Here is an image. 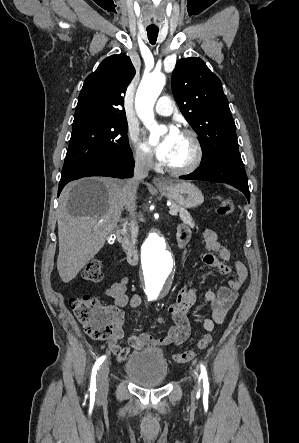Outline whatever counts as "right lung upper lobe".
Masks as SVG:
<instances>
[{"label": "right lung upper lobe", "instance_id": "cb5924a9", "mask_svg": "<svg viewBox=\"0 0 299 443\" xmlns=\"http://www.w3.org/2000/svg\"><path fill=\"white\" fill-rule=\"evenodd\" d=\"M135 75L130 58L124 54L105 58L84 82L73 125L107 118H126L123 109L127 86Z\"/></svg>", "mask_w": 299, "mask_h": 443}]
</instances>
